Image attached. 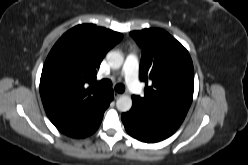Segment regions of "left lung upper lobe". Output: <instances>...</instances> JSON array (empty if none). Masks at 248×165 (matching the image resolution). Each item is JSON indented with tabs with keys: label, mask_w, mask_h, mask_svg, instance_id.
Segmentation results:
<instances>
[{
	"label": "left lung upper lobe",
	"mask_w": 248,
	"mask_h": 165,
	"mask_svg": "<svg viewBox=\"0 0 248 165\" xmlns=\"http://www.w3.org/2000/svg\"><path fill=\"white\" fill-rule=\"evenodd\" d=\"M130 35L142 47L140 79L146 82L145 96H132L133 103L183 122L194 91V68L188 51L163 29L132 31Z\"/></svg>",
	"instance_id": "1"
}]
</instances>
